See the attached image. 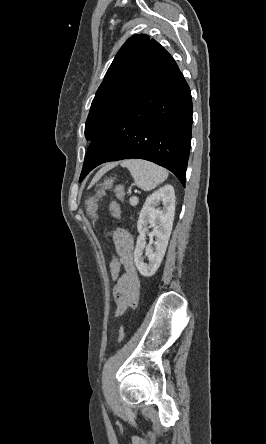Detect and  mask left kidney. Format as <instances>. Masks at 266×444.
<instances>
[{
  "label": "left kidney",
  "mask_w": 266,
  "mask_h": 444,
  "mask_svg": "<svg viewBox=\"0 0 266 444\" xmlns=\"http://www.w3.org/2000/svg\"><path fill=\"white\" fill-rule=\"evenodd\" d=\"M162 202L163 208H157ZM175 215V192L172 185H165L150 195L139 215L137 229L139 236L134 251L135 265L144 277H151L159 268L166 252ZM153 227L154 247H146L147 226ZM149 263H144L143 250Z\"/></svg>",
  "instance_id": "5707ae66"
}]
</instances>
